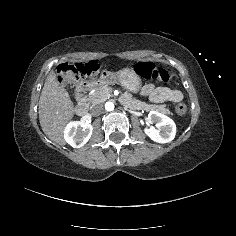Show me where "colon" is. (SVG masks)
Instances as JSON below:
<instances>
[{
  "label": "colon",
  "instance_id": "colon-1",
  "mask_svg": "<svg viewBox=\"0 0 236 236\" xmlns=\"http://www.w3.org/2000/svg\"><path fill=\"white\" fill-rule=\"evenodd\" d=\"M98 66L94 63L89 64H62L57 70V79L60 84L65 87H70L76 83L83 75H91L97 71ZM136 73L144 79L155 80L160 82H167L171 80L174 75L165 69L160 68L154 62H138L135 66ZM178 115H185L187 112V105L179 103L176 106Z\"/></svg>",
  "mask_w": 236,
  "mask_h": 236
}]
</instances>
